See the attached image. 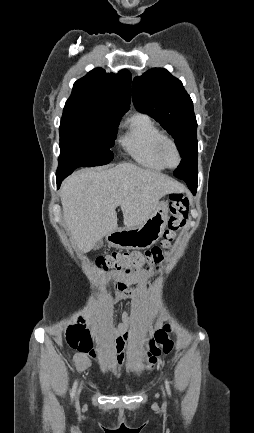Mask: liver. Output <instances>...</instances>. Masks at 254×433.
Returning <instances> with one entry per match:
<instances>
[{
  "label": "liver",
  "instance_id": "liver-1",
  "mask_svg": "<svg viewBox=\"0 0 254 433\" xmlns=\"http://www.w3.org/2000/svg\"><path fill=\"white\" fill-rule=\"evenodd\" d=\"M182 189L159 172L121 163L111 169L74 173L63 183L60 196L67 227L79 250L87 253L117 229L118 206L125 227L132 228L154 212L164 195Z\"/></svg>",
  "mask_w": 254,
  "mask_h": 433
}]
</instances>
